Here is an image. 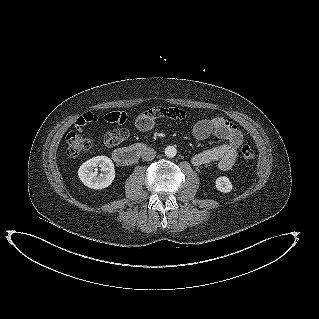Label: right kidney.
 <instances>
[{"instance_id":"right-kidney-1","label":"right kidney","mask_w":319,"mask_h":319,"mask_svg":"<svg viewBox=\"0 0 319 319\" xmlns=\"http://www.w3.org/2000/svg\"><path fill=\"white\" fill-rule=\"evenodd\" d=\"M97 167L103 171L98 175ZM78 176L82 183L93 189H103L110 186L115 178L114 164L106 156H96L83 163Z\"/></svg>"}]
</instances>
